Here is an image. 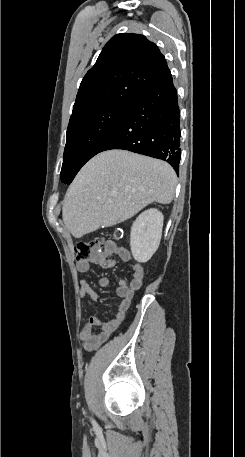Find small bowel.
I'll return each mask as SVG.
<instances>
[{
    "instance_id": "obj_1",
    "label": "small bowel",
    "mask_w": 245,
    "mask_h": 457,
    "mask_svg": "<svg viewBox=\"0 0 245 457\" xmlns=\"http://www.w3.org/2000/svg\"><path fill=\"white\" fill-rule=\"evenodd\" d=\"M113 255H116L122 263H128L131 261V254L128 250L109 240L104 244L100 254L89 260L79 261L77 263V269L80 272H86L89 270L91 264L106 269L112 268L117 264V261L111 258ZM130 270L132 276L130 282H127L124 279H121L118 282L117 295L121 300L112 317L109 320L104 321L98 316H90L84 328L80 332V339L86 349L91 350L99 347L108 340L111 334L123 322L134 292L141 287L144 278V270L141 265L131 264ZM109 283V279L106 277H103L99 282L101 287H108ZM80 293L84 298L90 300L96 301L99 298V295L86 279L80 280ZM97 329L98 332H96Z\"/></svg>"
}]
</instances>
